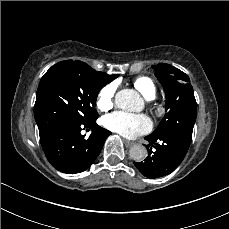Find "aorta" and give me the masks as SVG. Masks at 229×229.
Returning <instances> with one entry per match:
<instances>
[{"instance_id":"aorta-1","label":"aorta","mask_w":229,"mask_h":229,"mask_svg":"<svg viewBox=\"0 0 229 229\" xmlns=\"http://www.w3.org/2000/svg\"><path fill=\"white\" fill-rule=\"evenodd\" d=\"M115 105L123 110L140 111L143 107V100L135 90L123 89L117 92ZM129 154L133 160L142 161L147 156V150L143 145L136 144L130 148Z\"/></svg>"}]
</instances>
